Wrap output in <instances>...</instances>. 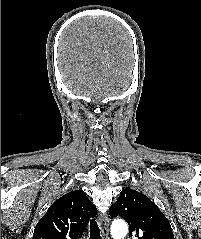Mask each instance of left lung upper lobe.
<instances>
[{
	"label": "left lung upper lobe",
	"instance_id": "5c2ea615",
	"mask_svg": "<svg viewBox=\"0 0 201 239\" xmlns=\"http://www.w3.org/2000/svg\"><path fill=\"white\" fill-rule=\"evenodd\" d=\"M111 217L121 216L130 227V236L138 239H174L171 225L146 195L125 188L109 208Z\"/></svg>",
	"mask_w": 201,
	"mask_h": 239
}]
</instances>
